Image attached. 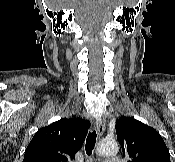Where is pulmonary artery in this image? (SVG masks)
I'll return each instance as SVG.
<instances>
[{
    "mask_svg": "<svg viewBox=\"0 0 175 162\" xmlns=\"http://www.w3.org/2000/svg\"><path fill=\"white\" fill-rule=\"evenodd\" d=\"M104 162H121V161L116 159V158H109V159L105 160Z\"/></svg>",
    "mask_w": 175,
    "mask_h": 162,
    "instance_id": "1",
    "label": "pulmonary artery"
}]
</instances>
